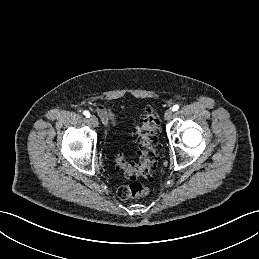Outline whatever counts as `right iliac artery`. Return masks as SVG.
<instances>
[{
    "label": "right iliac artery",
    "instance_id": "obj_1",
    "mask_svg": "<svg viewBox=\"0 0 259 259\" xmlns=\"http://www.w3.org/2000/svg\"><path fill=\"white\" fill-rule=\"evenodd\" d=\"M83 114H84L87 118L90 117V113H89L87 110H85V111L83 112Z\"/></svg>",
    "mask_w": 259,
    "mask_h": 259
}]
</instances>
